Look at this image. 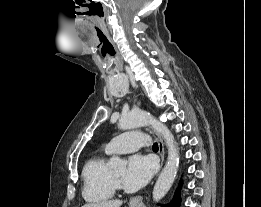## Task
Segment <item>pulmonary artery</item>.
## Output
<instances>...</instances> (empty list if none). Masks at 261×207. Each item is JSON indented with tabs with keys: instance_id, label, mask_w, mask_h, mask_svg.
<instances>
[{
	"instance_id": "1",
	"label": "pulmonary artery",
	"mask_w": 261,
	"mask_h": 207,
	"mask_svg": "<svg viewBox=\"0 0 261 207\" xmlns=\"http://www.w3.org/2000/svg\"><path fill=\"white\" fill-rule=\"evenodd\" d=\"M148 146L147 136L140 131H128L112 139L106 145V151L110 154L130 153Z\"/></svg>"
}]
</instances>
